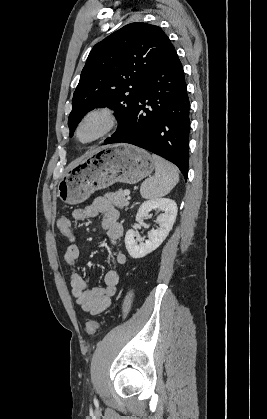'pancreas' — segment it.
<instances>
[{
  "mask_svg": "<svg viewBox=\"0 0 267 419\" xmlns=\"http://www.w3.org/2000/svg\"><path fill=\"white\" fill-rule=\"evenodd\" d=\"M105 197L108 198V200L111 201L119 209H123L129 205V201L122 190L106 193Z\"/></svg>",
  "mask_w": 267,
  "mask_h": 419,
  "instance_id": "pancreas-1",
  "label": "pancreas"
}]
</instances>
